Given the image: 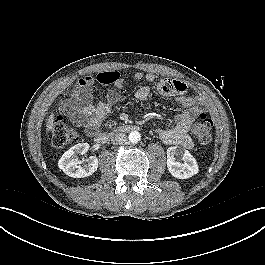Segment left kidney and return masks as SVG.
Masks as SVG:
<instances>
[{
    "mask_svg": "<svg viewBox=\"0 0 265 265\" xmlns=\"http://www.w3.org/2000/svg\"><path fill=\"white\" fill-rule=\"evenodd\" d=\"M182 160L183 163L179 162ZM167 168L170 174L178 179H187L197 174L199 167L191 153L181 147L173 146L167 149Z\"/></svg>",
    "mask_w": 265,
    "mask_h": 265,
    "instance_id": "1",
    "label": "left kidney"
}]
</instances>
